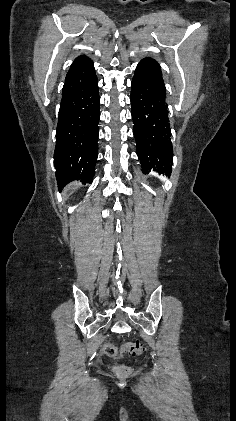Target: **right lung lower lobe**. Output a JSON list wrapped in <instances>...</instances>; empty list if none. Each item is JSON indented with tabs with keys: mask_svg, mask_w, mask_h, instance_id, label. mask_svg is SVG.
<instances>
[{
	"mask_svg": "<svg viewBox=\"0 0 236 421\" xmlns=\"http://www.w3.org/2000/svg\"><path fill=\"white\" fill-rule=\"evenodd\" d=\"M99 91L93 62L79 56L62 89L54 165L61 189L72 180L91 183L98 156Z\"/></svg>",
	"mask_w": 236,
	"mask_h": 421,
	"instance_id": "1",
	"label": "right lung lower lobe"
}]
</instances>
